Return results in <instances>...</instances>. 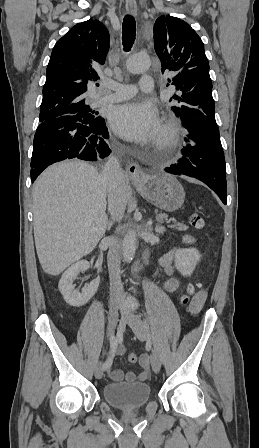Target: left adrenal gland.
<instances>
[{"instance_id":"1","label":"left adrenal gland","mask_w":259,"mask_h":448,"mask_svg":"<svg viewBox=\"0 0 259 448\" xmlns=\"http://www.w3.org/2000/svg\"><path fill=\"white\" fill-rule=\"evenodd\" d=\"M155 230L157 234H163V232H165L164 228H161V226H156Z\"/></svg>"}]
</instances>
